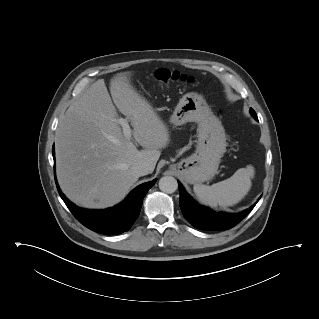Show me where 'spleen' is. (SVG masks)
<instances>
[{
	"mask_svg": "<svg viewBox=\"0 0 319 319\" xmlns=\"http://www.w3.org/2000/svg\"><path fill=\"white\" fill-rule=\"evenodd\" d=\"M254 177V167L238 169L230 178L211 186L195 184L193 189L198 199L209 206L226 207L237 204L249 192Z\"/></svg>",
	"mask_w": 319,
	"mask_h": 319,
	"instance_id": "1",
	"label": "spleen"
}]
</instances>
